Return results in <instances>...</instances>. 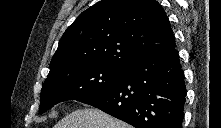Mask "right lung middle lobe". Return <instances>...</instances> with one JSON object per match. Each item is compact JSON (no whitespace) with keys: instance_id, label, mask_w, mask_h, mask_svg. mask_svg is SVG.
<instances>
[{"instance_id":"right-lung-middle-lobe-1","label":"right lung middle lobe","mask_w":221,"mask_h":128,"mask_svg":"<svg viewBox=\"0 0 221 128\" xmlns=\"http://www.w3.org/2000/svg\"><path fill=\"white\" fill-rule=\"evenodd\" d=\"M126 72L127 68H113L101 64L54 70L43 84L39 113L42 114L60 102L80 101L92 96L119 81Z\"/></svg>"}]
</instances>
